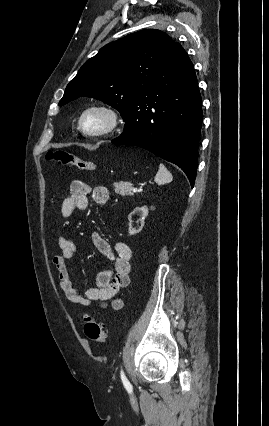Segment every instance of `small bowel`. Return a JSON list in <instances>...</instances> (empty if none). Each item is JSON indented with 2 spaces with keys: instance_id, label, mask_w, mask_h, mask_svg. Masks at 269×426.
Here are the masks:
<instances>
[{
  "instance_id": "small-bowel-1",
  "label": "small bowel",
  "mask_w": 269,
  "mask_h": 426,
  "mask_svg": "<svg viewBox=\"0 0 269 426\" xmlns=\"http://www.w3.org/2000/svg\"><path fill=\"white\" fill-rule=\"evenodd\" d=\"M89 194H92L94 202L99 206H105L110 200V193L106 187L98 186L92 189L85 182L75 180L70 184L69 196L62 202L61 216L68 218L76 209L86 210L89 206ZM92 241L100 254L113 261V268L99 272L94 285L88 288L83 295L80 294L73 285L67 266V261L71 260L77 252V245L66 237H59L60 253L53 257L59 287L66 300L72 304L89 307L92 303H96L99 307L105 308L110 303L113 309L118 310L123 306V302L116 295L130 282L131 249L126 243L118 242L115 245V253H113L110 244L99 232L92 234Z\"/></svg>"
}]
</instances>
